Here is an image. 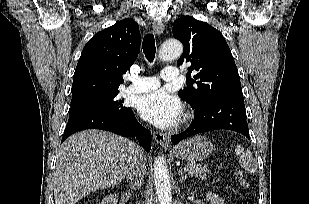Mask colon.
<instances>
[{
	"instance_id": "colon-1",
	"label": "colon",
	"mask_w": 309,
	"mask_h": 204,
	"mask_svg": "<svg viewBox=\"0 0 309 204\" xmlns=\"http://www.w3.org/2000/svg\"><path fill=\"white\" fill-rule=\"evenodd\" d=\"M236 177L239 179V181L241 182V184L245 187V188H247L248 187V185H247V183H246V181H245V178H244V176H243V173L241 172V171H236Z\"/></svg>"
}]
</instances>
